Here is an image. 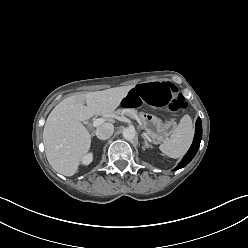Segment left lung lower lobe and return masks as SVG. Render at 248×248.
Listing matches in <instances>:
<instances>
[{
    "label": "left lung lower lobe",
    "mask_w": 248,
    "mask_h": 248,
    "mask_svg": "<svg viewBox=\"0 0 248 248\" xmlns=\"http://www.w3.org/2000/svg\"><path fill=\"white\" fill-rule=\"evenodd\" d=\"M201 138H202V123H201L200 118H198L196 121L195 136H194L193 143L189 151L183 157L182 161L178 164L175 170L185 167L193 159V157L196 155L198 148L200 146Z\"/></svg>",
    "instance_id": "left-lung-lower-lobe-1"
}]
</instances>
